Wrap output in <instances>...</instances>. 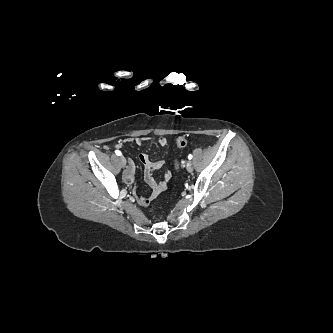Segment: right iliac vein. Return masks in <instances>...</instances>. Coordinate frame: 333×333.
I'll return each mask as SVG.
<instances>
[{
    "mask_svg": "<svg viewBox=\"0 0 333 333\" xmlns=\"http://www.w3.org/2000/svg\"><path fill=\"white\" fill-rule=\"evenodd\" d=\"M120 162H121L122 167L124 168L126 166V159L124 156L120 157Z\"/></svg>",
    "mask_w": 333,
    "mask_h": 333,
    "instance_id": "right-iliac-vein-1",
    "label": "right iliac vein"
}]
</instances>
